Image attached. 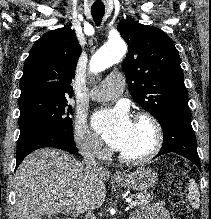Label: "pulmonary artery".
Wrapping results in <instances>:
<instances>
[{"instance_id": "obj_1", "label": "pulmonary artery", "mask_w": 211, "mask_h": 219, "mask_svg": "<svg viewBox=\"0 0 211 219\" xmlns=\"http://www.w3.org/2000/svg\"><path fill=\"white\" fill-rule=\"evenodd\" d=\"M125 77L121 72H111L90 93V98L96 101H106L117 97L124 88Z\"/></svg>"}]
</instances>
